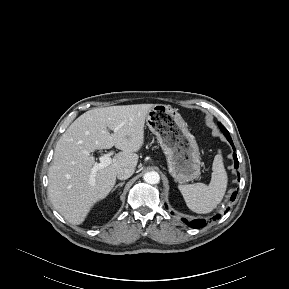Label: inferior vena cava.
<instances>
[{
    "label": "inferior vena cava",
    "instance_id": "602c4592",
    "mask_svg": "<svg viewBox=\"0 0 289 289\" xmlns=\"http://www.w3.org/2000/svg\"><path fill=\"white\" fill-rule=\"evenodd\" d=\"M134 171L135 169L132 167L121 168L117 172V178L120 180H126L133 175Z\"/></svg>",
    "mask_w": 289,
    "mask_h": 289
}]
</instances>
